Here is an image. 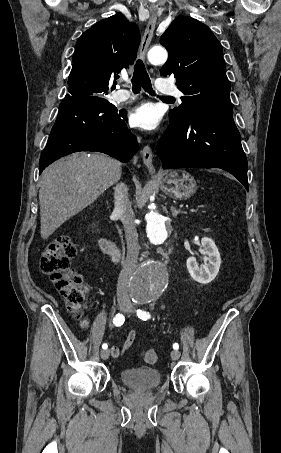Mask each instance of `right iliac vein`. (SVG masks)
Masks as SVG:
<instances>
[{
    "instance_id": "63e3f726",
    "label": "right iliac vein",
    "mask_w": 281,
    "mask_h": 453,
    "mask_svg": "<svg viewBox=\"0 0 281 453\" xmlns=\"http://www.w3.org/2000/svg\"><path fill=\"white\" fill-rule=\"evenodd\" d=\"M127 305H128V301H119V303H118V306L120 308L126 307ZM101 356H102L103 360L106 361L107 357L109 356V350L101 351Z\"/></svg>"
}]
</instances>
